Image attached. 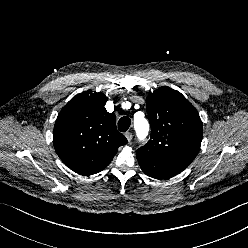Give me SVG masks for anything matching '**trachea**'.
Returning <instances> with one entry per match:
<instances>
[{
    "mask_svg": "<svg viewBox=\"0 0 248 248\" xmlns=\"http://www.w3.org/2000/svg\"><path fill=\"white\" fill-rule=\"evenodd\" d=\"M131 121L128 117H121L118 121V129L121 132H125L129 129Z\"/></svg>",
    "mask_w": 248,
    "mask_h": 248,
    "instance_id": "1",
    "label": "trachea"
}]
</instances>
